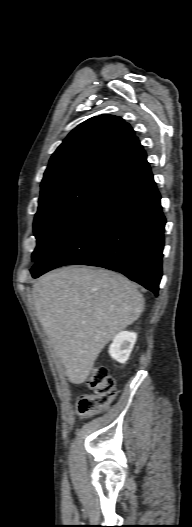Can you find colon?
<instances>
[{"mask_svg": "<svg viewBox=\"0 0 192 527\" xmlns=\"http://www.w3.org/2000/svg\"><path fill=\"white\" fill-rule=\"evenodd\" d=\"M85 384L91 393L79 398L77 410L82 417L90 418L104 410L114 399L115 381L105 366L95 365Z\"/></svg>", "mask_w": 192, "mask_h": 527, "instance_id": "5ec220e1", "label": "colon"}]
</instances>
